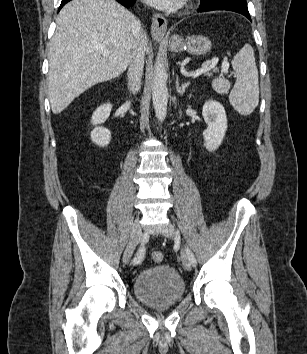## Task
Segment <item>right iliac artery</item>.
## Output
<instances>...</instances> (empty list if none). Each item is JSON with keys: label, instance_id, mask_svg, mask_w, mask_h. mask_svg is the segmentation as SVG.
I'll list each match as a JSON object with an SVG mask.
<instances>
[{"label": "right iliac artery", "instance_id": "right-iliac-artery-1", "mask_svg": "<svg viewBox=\"0 0 307 354\" xmlns=\"http://www.w3.org/2000/svg\"><path fill=\"white\" fill-rule=\"evenodd\" d=\"M144 255H145V248L142 246L139 248L136 256L134 257L132 263L133 264H138L142 261V259L144 258Z\"/></svg>", "mask_w": 307, "mask_h": 354}]
</instances>
